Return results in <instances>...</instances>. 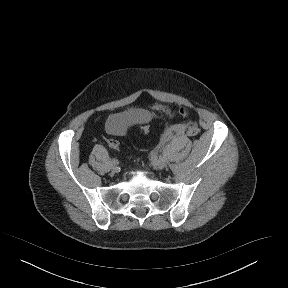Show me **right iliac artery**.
Here are the masks:
<instances>
[{"mask_svg":"<svg viewBox=\"0 0 288 288\" xmlns=\"http://www.w3.org/2000/svg\"><path fill=\"white\" fill-rule=\"evenodd\" d=\"M112 162L118 163V160L116 158H112Z\"/></svg>","mask_w":288,"mask_h":288,"instance_id":"82829eb1","label":"right iliac artery"}]
</instances>
